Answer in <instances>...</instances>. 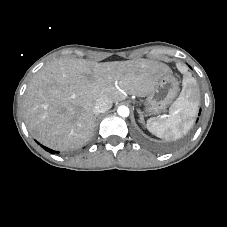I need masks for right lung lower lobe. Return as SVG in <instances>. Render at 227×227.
Here are the masks:
<instances>
[{"instance_id":"obj_1","label":"right lung lower lobe","mask_w":227,"mask_h":227,"mask_svg":"<svg viewBox=\"0 0 227 227\" xmlns=\"http://www.w3.org/2000/svg\"><path fill=\"white\" fill-rule=\"evenodd\" d=\"M46 151H49V152H53L51 149H49V148H47V147H45V146H42ZM54 153H58V152H54Z\"/></svg>"}]
</instances>
